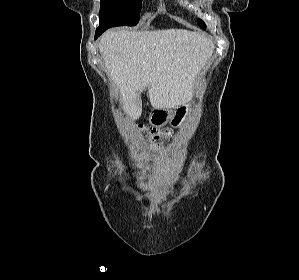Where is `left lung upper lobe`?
<instances>
[{"mask_svg":"<svg viewBox=\"0 0 299 280\" xmlns=\"http://www.w3.org/2000/svg\"><path fill=\"white\" fill-rule=\"evenodd\" d=\"M198 25H199L201 28H203V29L206 28V25H205V23H204L202 20H199V21H198Z\"/></svg>","mask_w":299,"mask_h":280,"instance_id":"1","label":"left lung upper lobe"}]
</instances>
